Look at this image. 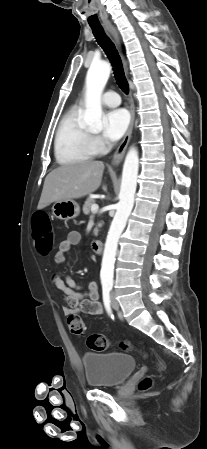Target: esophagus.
<instances>
[{"instance_id": "obj_1", "label": "esophagus", "mask_w": 207, "mask_h": 449, "mask_svg": "<svg viewBox=\"0 0 207 449\" xmlns=\"http://www.w3.org/2000/svg\"><path fill=\"white\" fill-rule=\"evenodd\" d=\"M106 29L110 32V34L113 36V38L115 39V41L119 44V36H118V32L115 29L114 26H112L111 24H107L106 25ZM124 61V65L126 66V61L123 58ZM131 97V103H130V114H131V120H130V124L128 127V130L122 140V142L120 143V145L118 146L117 150L115 151L114 155H113V159H112V165H118L126 152V149L128 147V144L130 142V138L132 135V130H133V126H134V119H135V107H134V103L132 101V96L130 94Z\"/></svg>"}]
</instances>
